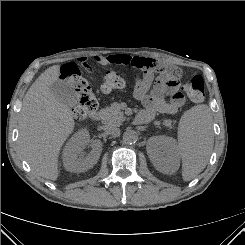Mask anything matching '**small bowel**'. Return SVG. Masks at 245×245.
Wrapping results in <instances>:
<instances>
[{"label":"small bowel","instance_id":"1","mask_svg":"<svg viewBox=\"0 0 245 245\" xmlns=\"http://www.w3.org/2000/svg\"><path fill=\"white\" fill-rule=\"evenodd\" d=\"M95 60L101 65L131 66L142 74H135L134 96L143 105L140 114L150 121L156 113L175 114L185 103V98L179 90L178 81L159 77L153 87V73L156 61L147 57L130 56L128 54H111L96 56ZM83 64L85 58H81ZM168 97V99H166Z\"/></svg>","mask_w":245,"mask_h":245}]
</instances>
